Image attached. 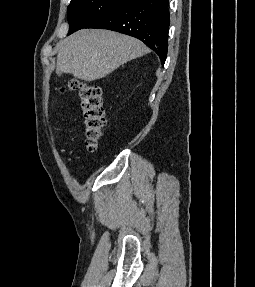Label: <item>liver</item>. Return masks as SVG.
I'll return each instance as SVG.
<instances>
[{"label":"liver","instance_id":"6515ba94","mask_svg":"<svg viewBox=\"0 0 255 287\" xmlns=\"http://www.w3.org/2000/svg\"><path fill=\"white\" fill-rule=\"evenodd\" d=\"M148 52L150 50L143 42L124 34L109 30H80L61 42L57 68L79 80L93 82Z\"/></svg>","mask_w":255,"mask_h":287}]
</instances>
